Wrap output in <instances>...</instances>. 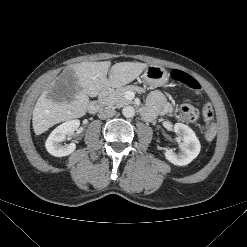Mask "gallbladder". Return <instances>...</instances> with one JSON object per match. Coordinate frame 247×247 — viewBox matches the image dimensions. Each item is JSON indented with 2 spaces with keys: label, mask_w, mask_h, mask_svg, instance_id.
<instances>
[{
  "label": "gallbladder",
  "mask_w": 247,
  "mask_h": 247,
  "mask_svg": "<svg viewBox=\"0 0 247 247\" xmlns=\"http://www.w3.org/2000/svg\"><path fill=\"white\" fill-rule=\"evenodd\" d=\"M68 88V83L64 82V80H58L56 84L54 85L53 89H58V90H66Z\"/></svg>",
  "instance_id": "bac80fb5"
}]
</instances>
